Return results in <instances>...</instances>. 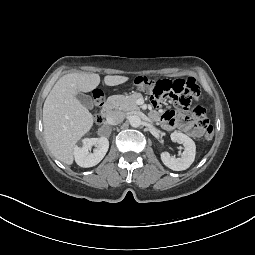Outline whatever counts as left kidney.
I'll use <instances>...</instances> for the list:
<instances>
[{
	"label": "left kidney",
	"instance_id": "1",
	"mask_svg": "<svg viewBox=\"0 0 255 255\" xmlns=\"http://www.w3.org/2000/svg\"><path fill=\"white\" fill-rule=\"evenodd\" d=\"M170 137L173 142L182 144L184 151L179 158L170 156L168 152H162L160 155L161 160L165 166L174 171L186 170L194 162L196 154L195 143L190 137L177 131L171 133Z\"/></svg>",
	"mask_w": 255,
	"mask_h": 255
}]
</instances>
